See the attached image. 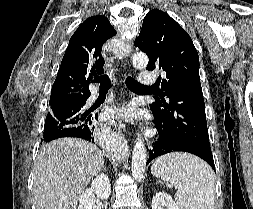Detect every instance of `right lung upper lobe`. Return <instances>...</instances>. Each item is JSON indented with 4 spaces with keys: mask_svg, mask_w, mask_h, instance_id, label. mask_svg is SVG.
<instances>
[{
    "mask_svg": "<svg viewBox=\"0 0 253 209\" xmlns=\"http://www.w3.org/2000/svg\"><path fill=\"white\" fill-rule=\"evenodd\" d=\"M114 35L115 29L101 15L89 17L78 27L53 84L49 109L86 103L92 78L104 73L102 46Z\"/></svg>",
    "mask_w": 253,
    "mask_h": 209,
    "instance_id": "cb5924a9",
    "label": "right lung upper lobe"
}]
</instances>
